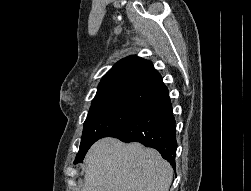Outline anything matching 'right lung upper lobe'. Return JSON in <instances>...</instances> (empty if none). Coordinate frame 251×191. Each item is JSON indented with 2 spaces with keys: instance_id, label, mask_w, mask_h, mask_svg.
<instances>
[{
  "instance_id": "right-lung-upper-lobe-1",
  "label": "right lung upper lobe",
  "mask_w": 251,
  "mask_h": 191,
  "mask_svg": "<svg viewBox=\"0 0 251 191\" xmlns=\"http://www.w3.org/2000/svg\"><path fill=\"white\" fill-rule=\"evenodd\" d=\"M167 92L160 74L150 61L129 56L105 74L90 108L122 104L143 109Z\"/></svg>"
}]
</instances>
